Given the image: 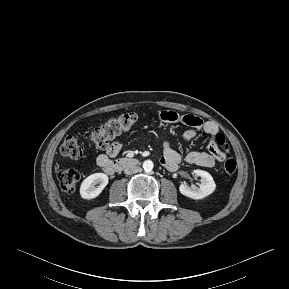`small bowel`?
Listing matches in <instances>:
<instances>
[{"label":"small bowel","mask_w":289,"mask_h":289,"mask_svg":"<svg viewBox=\"0 0 289 289\" xmlns=\"http://www.w3.org/2000/svg\"><path fill=\"white\" fill-rule=\"evenodd\" d=\"M159 119L166 125H184L187 127L183 134V141L185 144L190 143L197 135V132L202 130L209 134L211 141L206 151H192L186 155H182L174 150L168 140L163 141V154L160 158L161 165L168 171L175 172L179 167L186 163L190 165H196L205 168H212L216 161H223L226 158V154L219 147L214 145V137L219 133L218 127L213 121L203 122L200 118L187 114L180 115L174 111H162L159 114ZM122 144L120 140L114 141L110 144L105 153H101L97 156L96 162L98 166L104 168L112 159L115 158L121 151Z\"/></svg>","instance_id":"1"}]
</instances>
